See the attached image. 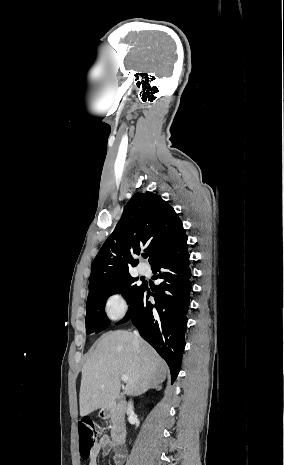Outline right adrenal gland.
<instances>
[{
	"mask_svg": "<svg viewBox=\"0 0 284 465\" xmlns=\"http://www.w3.org/2000/svg\"><path fill=\"white\" fill-rule=\"evenodd\" d=\"M160 387H158L157 391H159Z\"/></svg>",
	"mask_w": 284,
	"mask_h": 465,
	"instance_id": "right-adrenal-gland-1",
	"label": "right adrenal gland"
}]
</instances>
